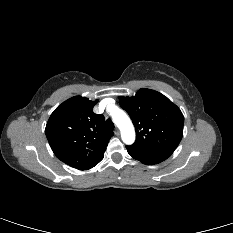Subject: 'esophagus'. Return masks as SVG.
I'll return each mask as SVG.
<instances>
[{
  "mask_svg": "<svg viewBox=\"0 0 233 233\" xmlns=\"http://www.w3.org/2000/svg\"><path fill=\"white\" fill-rule=\"evenodd\" d=\"M114 134H115L116 136H118V135L120 134V130H119L118 128H116V129L114 130Z\"/></svg>",
  "mask_w": 233,
  "mask_h": 233,
  "instance_id": "1",
  "label": "esophagus"
}]
</instances>
